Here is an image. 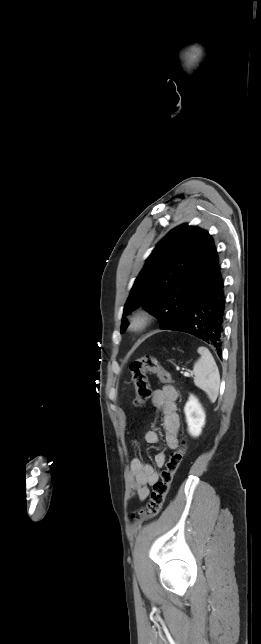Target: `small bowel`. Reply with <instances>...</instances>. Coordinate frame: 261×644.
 I'll return each mask as SVG.
<instances>
[{"mask_svg":"<svg viewBox=\"0 0 261 644\" xmlns=\"http://www.w3.org/2000/svg\"><path fill=\"white\" fill-rule=\"evenodd\" d=\"M178 392L172 386H164L152 393L151 403L163 414V428L165 443L169 449H176L179 445L180 418L177 413ZM148 444H157L160 440L156 430H149L145 434ZM167 455L161 451L155 455V466L138 458L130 462V497H137L144 501L150 494V486L159 480L158 468H162Z\"/></svg>","mask_w":261,"mask_h":644,"instance_id":"obj_1","label":"small bowel"}]
</instances>
